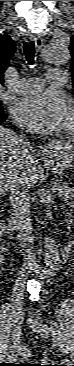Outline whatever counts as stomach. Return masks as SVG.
<instances>
[{"label": "stomach", "mask_w": 74, "mask_h": 366, "mask_svg": "<svg viewBox=\"0 0 74 366\" xmlns=\"http://www.w3.org/2000/svg\"><path fill=\"white\" fill-rule=\"evenodd\" d=\"M65 154L66 153L64 152V150H61L59 148H56V149H54V151H52L48 155H49V157H55V156H57L56 157V160H61L60 162H64V160L66 159Z\"/></svg>", "instance_id": "stomach-1"}]
</instances>
